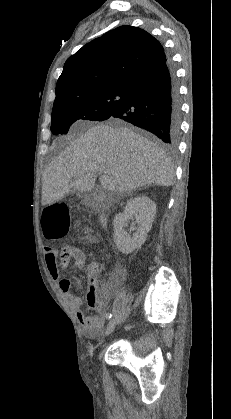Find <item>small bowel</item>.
Segmentation results:
<instances>
[{
	"label": "small bowel",
	"mask_w": 231,
	"mask_h": 419,
	"mask_svg": "<svg viewBox=\"0 0 231 419\" xmlns=\"http://www.w3.org/2000/svg\"><path fill=\"white\" fill-rule=\"evenodd\" d=\"M85 239L90 240L91 238L86 236ZM45 258L49 274L57 282L58 288L70 308L76 312L84 336L89 339L98 337L104 329V319L101 316H87L82 310V299L72 294L70 281L61 276V269H65L70 260L73 261L76 267H84L87 260L85 252L72 245H67L61 249L60 257H58L57 250L46 248ZM91 279L94 280L93 277ZM87 303L91 308L99 312L104 310V304L97 296L95 283L94 285L91 283L89 286Z\"/></svg>",
	"instance_id": "small-bowel-1"
}]
</instances>
